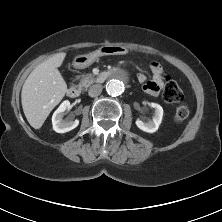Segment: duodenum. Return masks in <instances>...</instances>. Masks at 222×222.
<instances>
[{
	"instance_id": "obj_1",
	"label": "duodenum",
	"mask_w": 222,
	"mask_h": 222,
	"mask_svg": "<svg viewBox=\"0 0 222 222\" xmlns=\"http://www.w3.org/2000/svg\"><path fill=\"white\" fill-rule=\"evenodd\" d=\"M109 76L110 73L102 72L97 76V81L104 82ZM67 94L71 98H77L80 96V89L77 86H70L67 90Z\"/></svg>"
}]
</instances>
